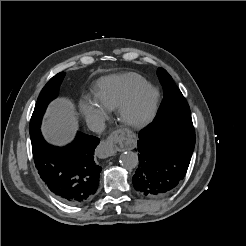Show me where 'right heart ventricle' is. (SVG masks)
Wrapping results in <instances>:
<instances>
[{"instance_id":"obj_1","label":"right heart ventricle","mask_w":246,"mask_h":246,"mask_svg":"<svg viewBox=\"0 0 246 246\" xmlns=\"http://www.w3.org/2000/svg\"><path fill=\"white\" fill-rule=\"evenodd\" d=\"M147 84L137 73L110 75L98 81L94 96L106 110H115L131 93Z\"/></svg>"}]
</instances>
